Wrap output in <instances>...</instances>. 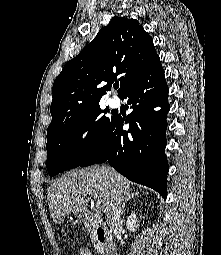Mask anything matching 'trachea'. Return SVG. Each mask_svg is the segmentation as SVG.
Instances as JSON below:
<instances>
[{
  "instance_id": "3493384b",
  "label": "trachea",
  "mask_w": 221,
  "mask_h": 255,
  "mask_svg": "<svg viewBox=\"0 0 221 255\" xmlns=\"http://www.w3.org/2000/svg\"><path fill=\"white\" fill-rule=\"evenodd\" d=\"M119 87V84H115L114 88L117 89Z\"/></svg>"
}]
</instances>
